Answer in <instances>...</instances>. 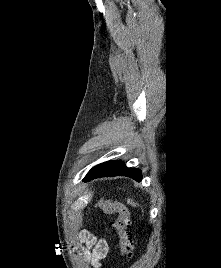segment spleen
Instances as JSON below:
<instances>
[{
  "label": "spleen",
  "instance_id": "spleen-1",
  "mask_svg": "<svg viewBox=\"0 0 221 268\" xmlns=\"http://www.w3.org/2000/svg\"><path fill=\"white\" fill-rule=\"evenodd\" d=\"M127 203H128V204H131V205H133V206L136 205L134 202L130 201V199L127 200Z\"/></svg>",
  "mask_w": 221,
  "mask_h": 268
}]
</instances>
